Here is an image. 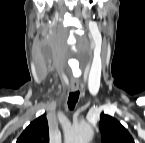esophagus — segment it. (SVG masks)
<instances>
[{"mask_svg": "<svg viewBox=\"0 0 145 143\" xmlns=\"http://www.w3.org/2000/svg\"><path fill=\"white\" fill-rule=\"evenodd\" d=\"M78 88H79V87H78L77 84H72V85H71V89H72V91H74V92L77 91Z\"/></svg>", "mask_w": 145, "mask_h": 143, "instance_id": "34e87169", "label": "esophagus"}]
</instances>
